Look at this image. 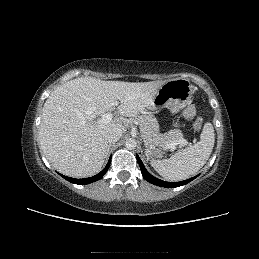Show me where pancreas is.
<instances>
[{"label":"pancreas","mask_w":259,"mask_h":259,"mask_svg":"<svg viewBox=\"0 0 259 259\" xmlns=\"http://www.w3.org/2000/svg\"><path fill=\"white\" fill-rule=\"evenodd\" d=\"M133 121L140 126V132L146 144L169 146L170 143L184 139L179 130H171L161 134L159 124L153 115H142L135 117Z\"/></svg>","instance_id":"pancreas-1"}]
</instances>
